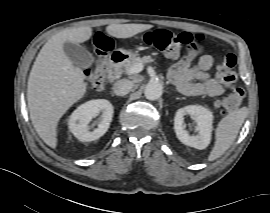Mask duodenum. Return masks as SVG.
Returning <instances> with one entry per match:
<instances>
[{
	"label": "duodenum",
	"mask_w": 270,
	"mask_h": 213,
	"mask_svg": "<svg viewBox=\"0 0 270 213\" xmlns=\"http://www.w3.org/2000/svg\"><path fill=\"white\" fill-rule=\"evenodd\" d=\"M126 56L123 53L116 52L110 55L108 59V77L110 80L114 81L118 78L119 69Z\"/></svg>",
	"instance_id": "410a0bca"
}]
</instances>
